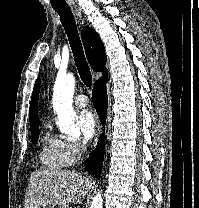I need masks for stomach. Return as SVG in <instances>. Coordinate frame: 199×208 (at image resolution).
Instances as JSON below:
<instances>
[{
    "mask_svg": "<svg viewBox=\"0 0 199 208\" xmlns=\"http://www.w3.org/2000/svg\"><path fill=\"white\" fill-rule=\"evenodd\" d=\"M39 208H49L48 206H40Z\"/></svg>",
    "mask_w": 199,
    "mask_h": 208,
    "instance_id": "1",
    "label": "stomach"
}]
</instances>
